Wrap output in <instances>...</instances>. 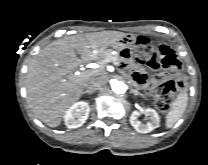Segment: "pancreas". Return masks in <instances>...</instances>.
<instances>
[{
	"instance_id": "cf45deb5",
	"label": "pancreas",
	"mask_w": 208,
	"mask_h": 165,
	"mask_svg": "<svg viewBox=\"0 0 208 165\" xmlns=\"http://www.w3.org/2000/svg\"><path fill=\"white\" fill-rule=\"evenodd\" d=\"M109 62H113L115 65L121 62V57L112 49L105 50L102 56L99 58V63L103 67L106 66Z\"/></svg>"
}]
</instances>
